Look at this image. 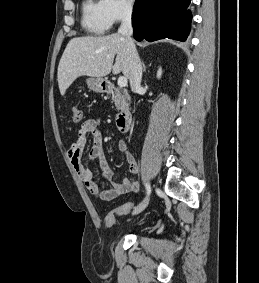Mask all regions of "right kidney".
Masks as SVG:
<instances>
[{
    "instance_id": "ca27d5eb",
    "label": "right kidney",
    "mask_w": 259,
    "mask_h": 283,
    "mask_svg": "<svg viewBox=\"0 0 259 283\" xmlns=\"http://www.w3.org/2000/svg\"><path fill=\"white\" fill-rule=\"evenodd\" d=\"M161 75H162V69L159 68L158 72H157V78H161Z\"/></svg>"
}]
</instances>
